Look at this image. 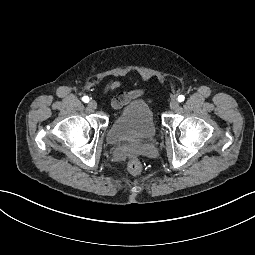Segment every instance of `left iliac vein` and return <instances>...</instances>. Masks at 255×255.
I'll return each mask as SVG.
<instances>
[{
	"label": "left iliac vein",
	"mask_w": 255,
	"mask_h": 255,
	"mask_svg": "<svg viewBox=\"0 0 255 255\" xmlns=\"http://www.w3.org/2000/svg\"><path fill=\"white\" fill-rule=\"evenodd\" d=\"M170 109L175 110L179 107V102L177 99H172L170 104H169Z\"/></svg>",
	"instance_id": "1"
}]
</instances>
